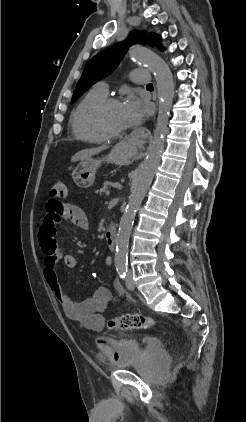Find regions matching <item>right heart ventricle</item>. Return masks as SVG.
<instances>
[{"mask_svg": "<svg viewBox=\"0 0 246 422\" xmlns=\"http://www.w3.org/2000/svg\"><path fill=\"white\" fill-rule=\"evenodd\" d=\"M105 98V92L93 88L77 104L70 118L72 132L77 139L93 144H99L106 140L93 120L95 107Z\"/></svg>", "mask_w": 246, "mask_h": 422, "instance_id": "right-heart-ventricle-1", "label": "right heart ventricle"}]
</instances>
